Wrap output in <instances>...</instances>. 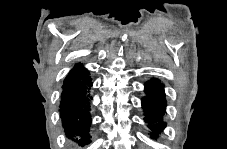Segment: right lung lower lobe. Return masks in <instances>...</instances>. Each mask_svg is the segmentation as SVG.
Instances as JSON below:
<instances>
[{"instance_id":"obj_1","label":"right lung lower lobe","mask_w":227,"mask_h":149,"mask_svg":"<svg viewBox=\"0 0 227 149\" xmlns=\"http://www.w3.org/2000/svg\"><path fill=\"white\" fill-rule=\"evenodd\" d=\"M92 81L88 71L75 65L63 82L60 117L66 136L78 146L90 141V89Z\"/></svg>"}]
</instances>
